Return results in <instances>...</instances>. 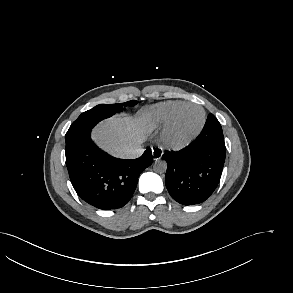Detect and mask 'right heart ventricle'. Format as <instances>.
<instances>
[{"instance_id": "obj_1", "label": "right heart ventricle", "mask_w": 293, "mask_h": 293, "mask_svg": "<svg viewBox=\"0 0 293 293\" xmlns=\"http://www.w3.org/2000/svg\"><path fill=\"white\" fill-rule=\"evenodd\" d=\"M184 101H165L156 104L149 110L150 119L155 127L165 126L174 110Z\"/></svg>"}]
</instances>
